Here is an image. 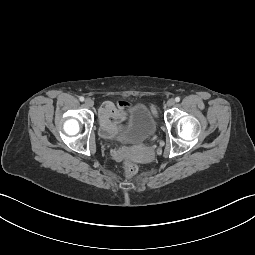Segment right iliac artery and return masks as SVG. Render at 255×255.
Wrapping results in <instances>:
<instances>
[{"instance_id": "right-iliac-artery-1", "label": "right iliac artery", "mask_w": 255, "mask_h": 255, "mask_svg": "<svg viewBox=\"0 0 255 255\" xmlns=\"http://www.w3.org/2000/svg\"><path fill=\"white\" fill-rule=\"evenodd\" d=\"M79 100L83 102V101H84V97L81 96V97L79 98Z\"/></svg>"}]
</instances>
